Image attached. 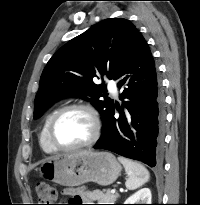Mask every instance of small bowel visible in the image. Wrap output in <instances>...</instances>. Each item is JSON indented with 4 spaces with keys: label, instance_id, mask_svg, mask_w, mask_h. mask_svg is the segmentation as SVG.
Masks as SVG:
<instances>
[{
    "label": "small bowel",
    "instance_id": "c3829d8e",
    "mask_svg": "<svg viewBox=\"0 0 200 205\" xmlns=\"http://www.w3.org/2000/svg\"><path fill=\"white\" fill-rule=\"evenodd\" d=\"M65 195H69L73 197L74 202L81 200V194L76 189L67 188L63 191Z\"/></svg>",
    "mask_w": 200,
    "mask_h": 205
}]
</instances>
